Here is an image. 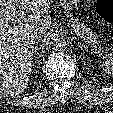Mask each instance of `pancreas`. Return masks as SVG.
Instances as JSON below:
<instances>
[{"label":"pancreas","mask_w":113,"mask_h":113,"mask_svg":"<svg viewBox=\"0 0 113 113\" xmlns=\"http://www.w3.org/2000/svg\"><path fill=\"white\" fill-rule=\"evenodd\" d=\"M68 20L74 30L78 31V34L83 38L87 43L95 45L97 43V34H94L93 31L81 23L77 18L72 14L68 15Z\"/></svg>","instance_id":"pancreas-1"}]
</instances>
